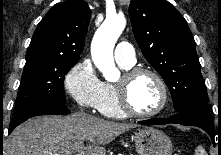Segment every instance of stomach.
I'll return each instance as SVG.
<instances>
[{
  "label": "stomach",
  "instance_id": "0dacf381",
  "mask_svg": "<svg viewBox=\"0 0 221 155\" xmlns=\"http://www.w3.org/2000/svg\"><path fill=\"white\" fill-rule=\"evenodd\" d=\"M134 141L139 155H172L173 152L169 137L152 127L139 129L135 133Z\"/></svg>",
  "mask_w": 221,
  "mask_h": 155
}]
</instances>
